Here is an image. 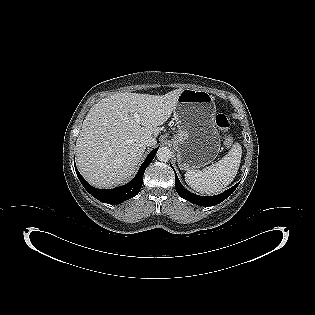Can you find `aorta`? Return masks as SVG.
<instances>
[{
	"label": "aorta",
	"mask_w": 315,
	"mask_h": 315,
	"mask_svg": "<svg viewBox=\"0 0 315 315\" xmlns=\"http://www.w3.org/2000/svg\"><path fill=\"white\" fill-rule=\"evenodd\" d=\"M157 159L161 162H167L172 156L171 149L168 147H161L157 151Z\"/></svg>",
	"instance_id": "762f6f07"
}]
</instances>
